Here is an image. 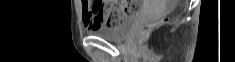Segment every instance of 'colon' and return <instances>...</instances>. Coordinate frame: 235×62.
Listing matches in <instances>:
<instances>
[{"instance_id": "1", "label": "colon", "mask_w": 235, "mask_h": 62, "mask_svg": "<svg viewBox=\"0 0 235 62\" xmlns=\"http://www.w3.org/2000/svg\"><path fill=\"white\" fill-rule=\"evenodd\" d=\"M126 2V1H123ZM97 8H103V5L101 3H95ZM133 10L137 11L139 9V6L134 3ZM110 8V14L108 18L107 25L113 26L118 24L123 16L126 14V8L121 3H112ZM154 24L148 23L142 26L140 33L141 35H145L147 32H149L153 28Z\"/></svg>"}]
</instances>
